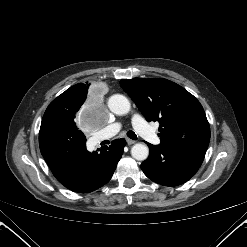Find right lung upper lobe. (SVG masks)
<instances>
[{
  "instance_id": "1",
  "label": "right lung upper lobe",
  "mask_w": 247,
  "mask_h": 247,
  "mask_svg": "<svg viewBox=\"0 0 247 247\" xmlns=\"http://www.w3.org/2000/svg\"><path fill=\"white\" fill-rule=\"evenodd\" d=\"M88 88H89V84L88 85H85V84H76V85L70 87L64 93L65 94H71L75 98H77L78 100L84 101L86 99V97H87Z\"/></svg>"
}]
</instances>
